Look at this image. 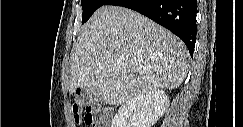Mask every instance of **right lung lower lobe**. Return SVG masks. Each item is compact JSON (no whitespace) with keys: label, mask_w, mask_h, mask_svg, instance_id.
Here are the masks:
<instances>
[{"label":"right lung lower lobe","mask_w":243,"mask_h":127,"mask_svg":"<svg viewBox=\"0 0 243 127\" xmlns=\"http://www.w3.org/2000/svg\"><path fill=\"white\" fill-rule=\"evenodd\" d=\"M104 5L130 8L166 27L182 39L193 57L197 0H107Z\"/></svg>","instance_id":"98d812e1"}]
</instances>
